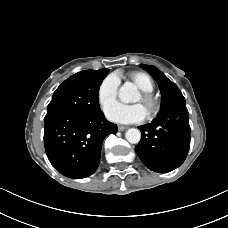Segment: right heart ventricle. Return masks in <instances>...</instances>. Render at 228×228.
Segmentation results:
<instances>
[{
    "instance_id": "obj_1",
    "label": "right heart ventricle",
    "mask_w": 228,
    "mask_h": 228,
    "mask_svg": "<svg viewBox=\"0 0 228 228\" xmlns=\"http://www.w3.org/2000/svg\"><path fill=\"white\" fill-rule=\"evenodd\" d=\"M132 81L139 87L141 91L152 93L154 90V83L152 79L143 72H134L130 74Z\"/></svg>"
}]
</instances>
